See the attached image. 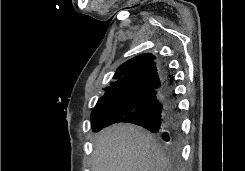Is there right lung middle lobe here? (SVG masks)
Returning a JSON list of instances; mask_svg holds the SVG:
<instances>
[{
	"label": "right lung middle lobe",
	"instance_id": "right-lung-middle-lobe-1",
	"mask_svg": "<svg viewBox=\"0 0 245 171\" xmlns=\"http://www.w3.org/2000/svg\"><path fill=\"white\" fill-rule=\"evenodd\" d=\"M122 99H112L97 103L91 114V125L94 130Z\"/></svg>",
	"mask_w": 245,
	"mask_h": 171
}]
</instances>
